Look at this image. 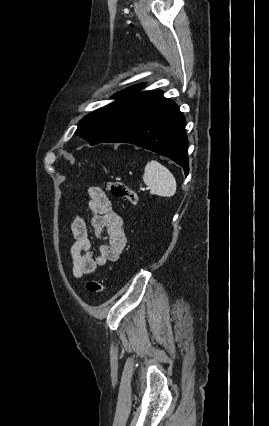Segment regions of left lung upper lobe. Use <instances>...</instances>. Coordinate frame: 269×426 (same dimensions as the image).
I'll list each match as a JSON object with an SVG mask.
<instances>
[{
    "instance_id": "5c2ea615",
    "label": "left lung upper lobe",
    "mask_w": 269,
    "mask_h": 426,
    "mask_svg": "<svg viewBox=\"0 0 269 426\" xmlns=\"http://www.w3.org/2000/svg\"><path fill=\"white\" fill-rule=\"evenodd\" d=\"M143 86L144 84L135 85L117 93L114 98L118 100L81 119L75 133L89 141L90 145L101 143L115 127L123 110L135 95V91Z\"/></svg>"
}]
</instances>
